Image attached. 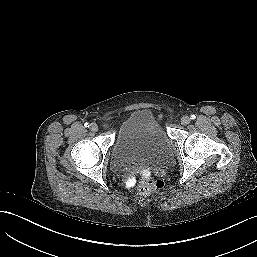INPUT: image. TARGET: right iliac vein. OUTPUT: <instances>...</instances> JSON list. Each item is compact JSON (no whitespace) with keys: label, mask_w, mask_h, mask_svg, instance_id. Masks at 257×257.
I'll return each instance as SVG.
<instances>
[{"label":"right iliac vein","mask_w":257,"mask_h":257,"mask_svg":"<svg viewBox=\"0 0 257 257\" xmlns=\"http://www.w3.org/2000/svg\"><path fill=\"white\" fill-rule=\"evenodd\" d=\"M90 130H91L92 132H97V131H98V125H97L96 123H92V124L90 125Z\"/></svg>","instance_id":"right-iliac-vein-1"}]
</instances>
